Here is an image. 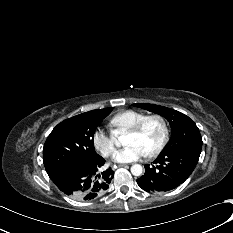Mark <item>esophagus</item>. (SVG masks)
Wrapping results in <instances>:
<instances>
[{"label": "esophagus", "mask_w": 233, "mask_h": 233, "mask_svg": "<svg viewBox=\"0 0 233 233\" xmlns=\"http://www.w3.org/2000/svg\"><path fill=\"white\" fill-rule=\"evenodd\" d=\"M118 166H119V167H124V166H125V164H118Z\"/></svg>", "instance_id": "34e87169"}]
</instances>
